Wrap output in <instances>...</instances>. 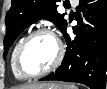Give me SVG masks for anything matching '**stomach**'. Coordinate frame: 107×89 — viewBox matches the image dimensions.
Returning a JSON list of instances; mask_svg holds the SVG:
<instances>
[{"label": "stomach", "mask_w": 107, "mask_h": 89, "mask_svg": "<svg viewBox=\"0 0 107 89\" xmlns=\"http://www.w3.org/2000/svg\"><path fill=\"white\" fill-rule=\"evenodd\" d=\"M32 89H65V85H61V84L56 85L55 83H52V84H47L44 87H34Z\"/></svg>", "instance_id": "stomach-1"}]
</instances>
